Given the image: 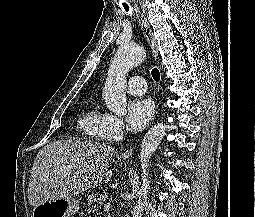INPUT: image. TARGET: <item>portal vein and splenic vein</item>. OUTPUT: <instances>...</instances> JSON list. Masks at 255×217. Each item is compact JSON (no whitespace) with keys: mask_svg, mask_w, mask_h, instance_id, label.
I'll list each match as a JSON object with an SVG mask.
<instances>
[{"mask_svg":"<svg viewBox=\"0 0 255 217\" xmlns=\"http://www.w3.org/2000/svg\"><path fill=\"white\" fill-rule=\"evenodd\" d=\"M105 208H109L110 207V203L109 202H106L105 205H104Z\"/></svg>","mask_w":255,"mask_h":217,"instance_id":"1","label":"portal vein and splenic vein"}]
</instances>
